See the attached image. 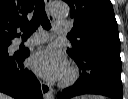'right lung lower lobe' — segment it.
Masks as SVG:
<instances>
[{"mask_svg": "<svg viewBox=\"0 0 128 99\" xmlns=\"http://www.w3.org/2000/svg\"><path fill=\"white\" fill-rule=\"evenodd\" d=\"M28 56V49L14 55L0 53V92L16 99H43L40 83L23 65Z\"/></svg>", "mask_w": 128, "mask_h": 99, "instance_id": "right-lung-lower-lobe-1", "label": "right lung lower lobe"}]
</instances>
